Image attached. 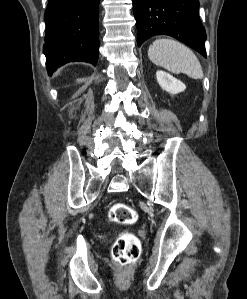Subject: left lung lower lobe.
<instances>
[{
	"mask_svg": "<svg viewBox=\"0 0 247 299\" xmlns=\"http://www.w3.org/2000/svg\"><path fill=\"white\" fill-rule=\"evenodd\" d=\"M138 46L155 35H169L206 57L199 0H133Z\"/></svg>",
	"mask_w": 247,
	"mask_h": 299,
	"instance_id": "0a47b994",
	"label": "left lung lower lobe"
}]
</instances>
